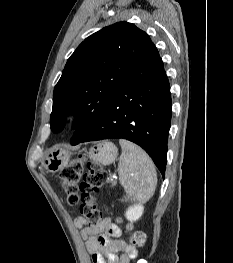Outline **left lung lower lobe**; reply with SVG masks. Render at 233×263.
<instances>
[{"mask_svg":"<svg viewBox=\"0 0 233 263\" xmlns=\"http://www.w3.org/2000/svg\"><path fill=\"white\" fill-rule=\"evenodd\" d=\"M171 106L168 78L158 50L152 43L96 125L78 143L127 139L141 146L164 176Z\"/></svg>","mask_w":233,"mask_h":263,"instance_id":"left-lung-lower-lobe-1","label":"left lung lower lobe"}]
</instances>
